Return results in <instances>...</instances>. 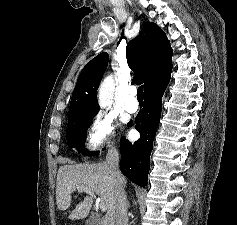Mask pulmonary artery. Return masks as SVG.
Wrapping results in <instances>:
<instances>
[{
	"label": "pulmonary artery",
	"instance_id": "pulmonary-artery-1",
	"mask_svg": "<svg viewBox=\"0 0 237 225\" xmlns=\"http://www.w3.org/2000/svg\"><path fill=\"white\" fill-rule=\"evenodd\" d=\"M135 95H136L135 90L131 89L128 92L127 97L125 99L124 109L129 113H135L138 110V101Z\"/></svg>",
	"mask_w": 237,
	"mask_h": 225
}]
</instances>
